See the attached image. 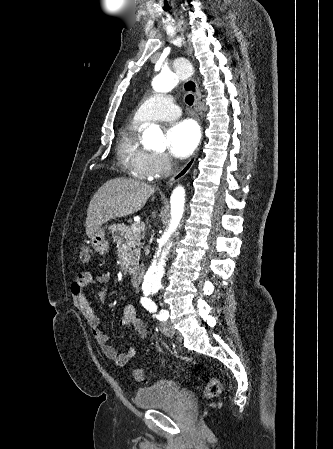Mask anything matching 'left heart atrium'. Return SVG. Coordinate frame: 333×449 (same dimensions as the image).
Returning <instances> with one entry per match:
<instances>
[{
  "label": "left heart atrium",
  "mask_w": 333,
  "mask_h": 449,
  "mask_svg": "<svg viewBox=\"0 0 333 449\" xmlns=\"http://www.w3.org/2000/svg\"><path fill=\"white\" fill-rule=\"evenodd\" d=\"M199 140V128L192 120L176 122L167 131L168 147L176 158L188 157L197 147Z\"/></svg>",
  "instance_id": "obj_1"
}]
</instances>
